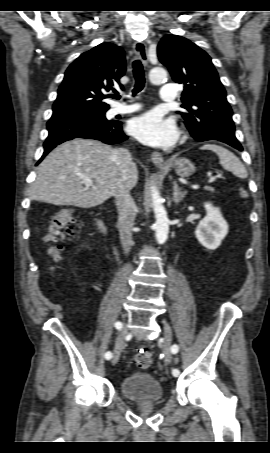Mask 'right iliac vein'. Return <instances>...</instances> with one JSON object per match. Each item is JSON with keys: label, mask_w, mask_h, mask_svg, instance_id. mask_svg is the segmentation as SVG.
<instances>
[{"label": "right iliac vein", "mask_w": 270, "mask_h": 453, "mask_svg": "<svg viewBox=\"0 0 270 453\" xmlns=\"http://www.w3.org/2000/svg\"><path fill=\"white\" fill-rule=\"evenodd\" d=\"M126 335H127V329H126V327H124L123 329H121V331L117 337V340H116L113 357H112V361H111L112 365H115L119 361L121 351L124 346V341H125Z\"/></svg>", "instance_id": "63e3f726"}]
</instances>
